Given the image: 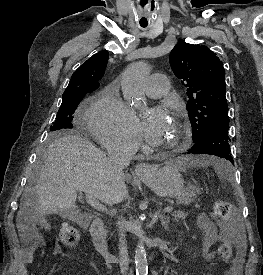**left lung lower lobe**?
<instances>
[{"instance_id": "obj_1", "label": "left lung lower lobe", "mask_w": 263, "mask_h": 275, "mask_svg": "<svg viewBox=\"0 0 263 275\" xmlns=\"http://www.w3.org/2000/svg\"><path fill=\"white\" fill-rule=\"evenodd\" d=\"M229 123H223L215 126L205 133L199 139L194 141V145L188 150V154H209L229 160L234 163L230 153L228 134Z\"/></svg>"}]
</instances>
